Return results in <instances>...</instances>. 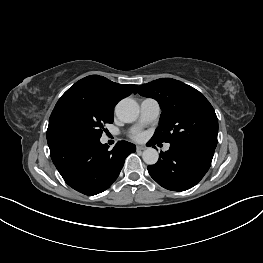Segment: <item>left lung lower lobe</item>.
<instances>
[{
  "instance_id": "obj_1",
  "label": "left lung lower lobe",
  "mask_w": 263,
  "mask_h": 263,
  "mask_svg": "<svg viewBox=\"0 0 263 263\" xmlns=\"http://www.w3.org/2000/svg\"><path fill=\"white\" fill-rule=\"evenodd\" d=\"M152 145L157 142L150 140ZM215 148L191 144L170 143L168 151L161 152L155 165H149L150 176L162 187L184 191L195 186L210 168Z\"/></svg>"
}]
</instances>
